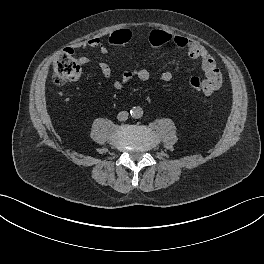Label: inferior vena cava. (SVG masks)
<instances>
[{"label":"inferior vena cava","mask_w":264,"mask_h":264,"mask_svg":"<svg viewBox=\"0 0 264 264\" xmlns=\"http://www.w3.org/2000/svg\"><path fill=\"white\" fill-rule=\"evenodd\" d=\"M128 112L127 111H121L117 115V119L119 121H126L128 119Z\"/></svg>","instance_id":"1"}]
</instances>
